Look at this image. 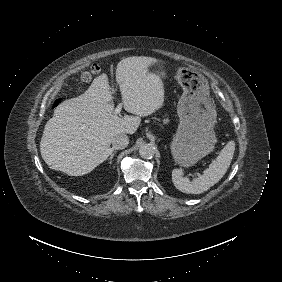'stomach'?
Instances as JSON below:
<instances>
[{
  "label": "stomach",
  "instance_id": "obj_1",
  "mask_svg": "<svg viewBox=\"0 0 282 282\" xmlns=\"http://www.w3.org/2000/svg\"><path fill=\"white\" fill-rule=\"evenodd\" d=\"M149 69L166 76L163 63H152ZM175 78L183 87V94L177 105L180 123L170 147L175 162L190 167L213 151L217 142L214 132L217 113L204 76L179 69Z\"/></svg>",
  "mask_w": 282,
  "mask_h": 282
}]
</instances>
